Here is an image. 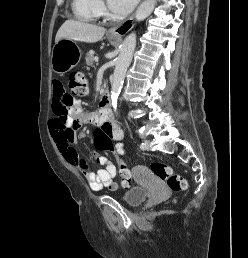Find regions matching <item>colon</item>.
<instances>
[{"mask_svg":"<svg viewBox=\"0 0 248 258\" xmlns=\"http://www.w3.org/2000/svg\"><path fill=\"white\" fill-rule=\"evenodd\" d=\"M89 91L88 81L81 73H74L70 78V92L74 96H85ZM67 115L65 114L64 117ZM97 144L102 149H107L106 154L112 155L115 159L117 169H120L122 182L125 186L131 185V171L129 166L130 161L127 158H122L116 150V144H110V139L99 129L96 133ZM152 174L159 180L164 181L170 190L174 192H181L187 189L186 179L173 171L171 166L162 162H153L150 165Z\"/></svg>","mask_w":248,"mask_h":258,"instance_id":"1","label":"colon"}]
</instances>
